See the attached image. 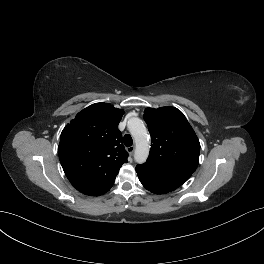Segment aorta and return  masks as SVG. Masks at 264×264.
Listing matches in <instances>:
<instances>
[{
	"mask_svg": "<svg viewBox=\"0 0 264 264\" xmlns=\"http://www.w3.org/2000/svg\"><path fill=\"white\" fill-rule=\"evenodd\" d=\"M128 128L131 132L136 149L134 159L137 163H144L149 156V135L142 120L139 118H132L128 122Z\"/></svg>",
	"mask_w": 264,
	"mask_h": 264,
	"instance_id": "1",
	"label": "aorta"
}]
</instances>
